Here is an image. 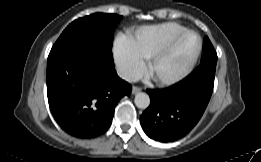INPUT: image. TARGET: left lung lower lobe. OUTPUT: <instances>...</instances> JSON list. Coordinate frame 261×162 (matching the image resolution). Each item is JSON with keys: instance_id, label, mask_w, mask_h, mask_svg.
Returning a JSON list of instances; mask_svg holds the SVG:
<instances>
[{"instance_id": "1", "label": "left lung lower lobe", "mask_w": 261, "mask_h": 162, "mask_svg": "<svg viewBox=\"0 0 261 162\" xmlns=\"http://www.w3.org/2000/svg\"><path fill=\"white\" fill-rule=\"evenodd\" d=\"M217 62L200 64L182 81L147 90L150 106L140 116L148 137L171 142L187 135L201 119L213 92Z\"/></svg>"}]
</instances>
